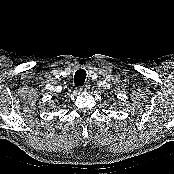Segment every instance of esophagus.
<instances>
[{
  "mask_svg": "<svg viewBox=\"0 0 174 174\" xmlns=\"http://www.w3.org/2000/svg\"><path fill=\"white\" fill-rule=\"evenodd\" d=\"M89 89V86L88 85H84V86H81L79 87L78 91L79 92H85Z\"/></svg>",
  "mask_w": 174,
  "mask_h": 174,
  "instance_id": "esophagus-1",
  "label": "esophagus"
}]
</instances>
